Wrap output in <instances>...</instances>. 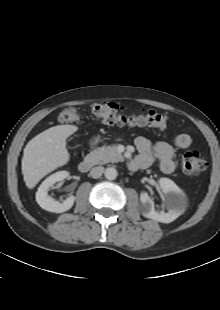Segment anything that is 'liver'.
Listing matches in <instances>:
<instances>
[{"label":"liver","instance_id":"obj_1","mask_svg":"<svg viewBox=\"0 0 220 310\" xmlns=\"http://www.w3.org/2000/svg\"><path fill=\"white\" fill-rule=\"evenodd\" d=\"M78 130L74 125L51 127L26 145L22 158V174L29 189L47 174L68 163L70 159L66 139Z\"/></svg>","mask_w":220,"mask_h":310}]
</instances>
